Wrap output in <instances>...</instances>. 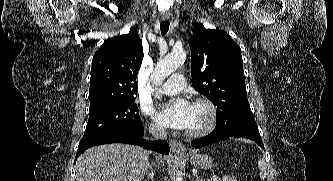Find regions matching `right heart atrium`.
Here are the masks:
<instances>
[{
	"mask_svg": "<svg viewBox=\"0 0 333 181\" xmlns=\"http://www.w3.org/2000/svg\"><path fill=\"white\" fill-rule=\"evenodd\" d=\"M143 114L145 116L150 115V110L147 108L143 109ZM149 130L150 132L155 135V136H162L165 133V129L157 122L155 121H150L149 122Z\"/></svg>",
	"mask_w": 333,
	"mask_h": 181,
	"instance_id": "obj_1",
	"label": "right heart atrium"
}]
</instances>
